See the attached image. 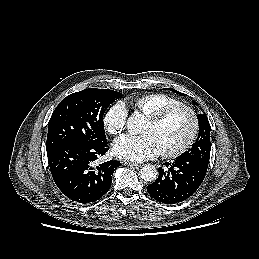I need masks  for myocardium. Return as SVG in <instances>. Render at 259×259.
<instances>
[{
    "label": "myocardium",
    "mask_w": 259,
    "mask_h": 259,
    "mask_svg": "<svg viewBox=\"0 0 259 259\" xmlns=\"http://www.w3.org/2000/svg\"><path fill=\"white\" fill-rule=\"evenodd\" d=\"M178 110H185L189 113L191 120H192V128L191 131L186 138V140L181 143L178 147L171 149V150H165V151H160L159 154L162 157L165 158H174L182 155L184 152H186L190 146L194 143L198 132H199V118L196 113V111L189 105L184 104V103H178V104H173L170 106H167L158 112L154 113L153 115L148 117V122L153 125H159L162 123L165 119H167L170 115H172L174 112Z\"/></svg>",
    "instance_id": "myocardium-1"
}]
</instances>
